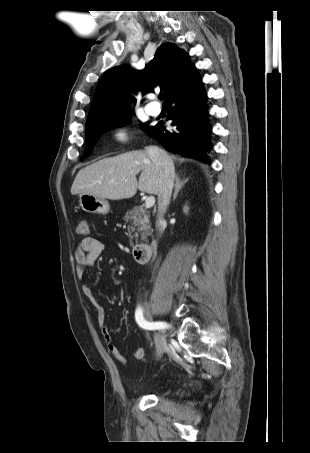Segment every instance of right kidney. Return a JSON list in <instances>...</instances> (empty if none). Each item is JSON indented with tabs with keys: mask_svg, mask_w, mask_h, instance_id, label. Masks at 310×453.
Wrapping results in <instances>:
<instances>
[{
	"mask_svg": "<svg viewBox=\"0 0 310 453\" xmlns=\"http://www.w3.org/2000/svg\"><path fill=\"white\" fill-rule=\"evenodd\" d=\"M184 211L187 212V207L184 208Z\"/></svg>",
	"mask_w": 310,
	"mask_h": 453,
	"instance_id": "1",
	"label": "right kidney"
}]
</instances>
